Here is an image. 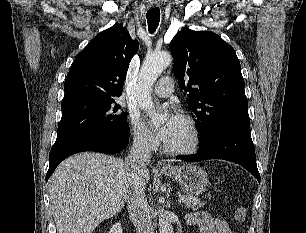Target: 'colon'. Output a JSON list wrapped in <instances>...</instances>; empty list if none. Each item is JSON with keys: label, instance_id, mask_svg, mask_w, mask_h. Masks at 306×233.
I'll use <instances>...</instances> for the list:
<instances>
[{"label": "colon", "instance_id": "5ec220e1", "mask_svg": "<svg viewBox=\"0 0 306 233\" xmlns=\"http://www.w3.org/2000/svg\"><path fill=\"white\" fill-rule=\"evenodd\" d=\"M247 210L244 206H238L234 211V219L237 223L241 224L245 221Z\"/></svg>", "mask_w": 306, "mask_h": 233}]
</instances>
